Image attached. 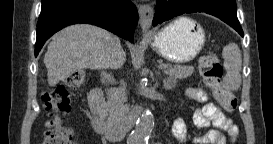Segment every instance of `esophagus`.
Segmentation results:
<instances>
[{
	"label": "esophagus",
	"instance_id": "34e87169",
	"mask_svg": "<svg viewBox=\"0 0 273 144\" xmlns=\"http://www.w3.org/2000/svg\"><path fill=\"white\" fill-rule=\"evenodd\" d=\"M139 24L143 35H149V28L153 19V8L150 4H141L138 8Z\"/></svg>",
	"mask_w": 273,
	"mask_h": 144
}]
</instances>
